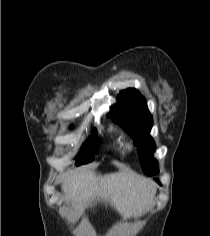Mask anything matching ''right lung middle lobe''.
Segmentation results:
<instances>
[{"label": "right lung middle lobe", "mask_w": 210, "mask_h": 236, "mask_svg": "<svg viewBox=\"0 0 210 236\" xmlns=\"http://www.w3.org/2000/svg\"><path fill=\"white\" fill-rule=\"evenodd\" d=\"M98 139L96 136L89 137V139L82 146L80 153L76 157V165L91 162L94 155L98 153V146L96 145Z\"/></svg>", "instance_id": "right-lung-middle-lobe-1"}]
</instances>
